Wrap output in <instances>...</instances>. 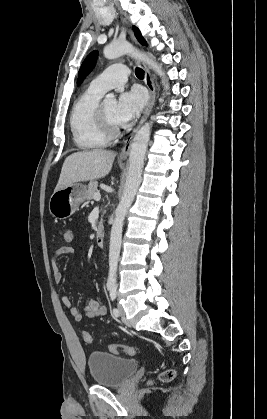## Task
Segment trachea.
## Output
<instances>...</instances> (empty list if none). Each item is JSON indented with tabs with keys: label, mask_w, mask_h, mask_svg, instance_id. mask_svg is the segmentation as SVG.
Here are the masks:
<instances>
[{
	"label": "trachea",
	"mask_w": 267,
	"mask_h": 419,
	"mask_svg": "<svg viewBox=\"0 0 267 419\" xmlns=\"http://www.w3.org/2000/svg\"><path fill=\"white\" fill-rule=\"evenodd\" d=\"M135 74L139 79L144 78V71L141 68H136Z\"/></svg>",
	"instance_id": "obj_1"
}]
</instances>
